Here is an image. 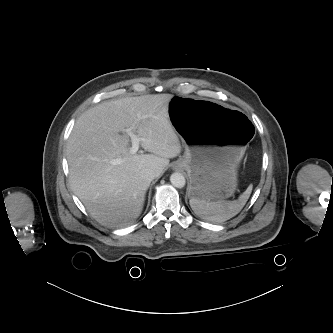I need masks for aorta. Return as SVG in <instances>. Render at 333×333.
I'll return each instance as SVG.
<instances>
[{
	"label": "aorta",
	"instance_id": "aorta-1",
	"mask_svg": "<svg viewBox=\"0 0 333 333\" xmlns=\"http://www.w3.org/2000/svg\"><path fill=\"white\" fill-rule=\"evenodd\" d=\"M170 182L176 188H183L185 186L186 180L181 173H173L170 176Z\"/></svg>",
	"mask_w": 333,
	"mask_h": 333
}]
</instances>
